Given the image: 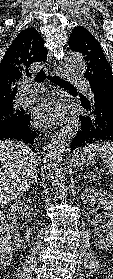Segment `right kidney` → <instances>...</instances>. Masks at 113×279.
I'll use <instances>...</instances> for the list:
<instances>
[{
    "instance_id": "right-kidney-1",
    "label": "right kidney",
    "mask_w": 113,
    "mask_h": 279,
    "mask_svg": "<svg viewBox=\"0 0 113 279\" xmlns=\"http://www.w3.org/2000/svg\"><path fill=\"white\" fill-rule=\"evenodd\" d=\"M23 211H24L23 202L18 200L9 208L8 216H7L9 221V231L11 233V236L14 239L13 245L16 249L27 248L30 241V235L32 232L30 227H27L23 233L19 231L17 220L19 218V215L22 214Z\"/></svg>"
}]
</instances>
